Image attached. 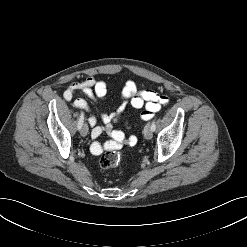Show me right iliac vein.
I'll list each match as a JSON object with an SVG mask.
<instances>
[{
	"label": "right iliac vein",
	"instance_id": "right-iliac-vein-1",
	"mask_svg": "<svg viewBox=\"0 0 247 247\" xmlns=\"http://www.w3.org/2000/svg\"><path fill=\"white\" fill-rule=\"evenodd\" d=\"M80 133L83 137H85L88 134V125L87 124L82 125Z\"/></svg>",
	"mask_w": 247,
	"mask_h": 247
}]
</instances>
